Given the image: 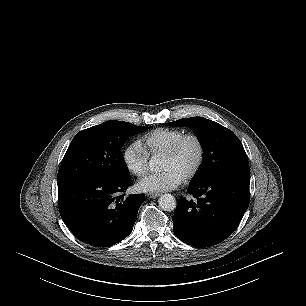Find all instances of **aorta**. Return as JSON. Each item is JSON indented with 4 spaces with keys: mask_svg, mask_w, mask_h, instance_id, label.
<instances>
[{
    "mask_svg": "<svg viewBox=\"0 0 306 306\" xmlns=\"http://www.w3.org/2000/svg\"><path fill=\"white\" fill-rule=\"evenodd\" d=\"M150 165H154V160H151ZM158 204L164 211H173L176 208V199L171 194H163L158 199Z\"/></svg>",
    "mask_w": 306,
    "mask_h": 306,
    "instance_id": "762f6f07",
    "label": "aorta"
}]
</instances>
